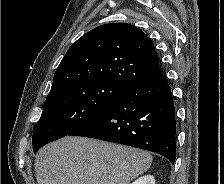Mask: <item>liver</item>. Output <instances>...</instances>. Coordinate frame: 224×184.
Listing matches in <instances>:
<instances>
[{
	"instance_id": "6515ba94",
	"label": "liver",
	"mask_w": 224,
	"mask_h": 184,
	"mask_svg": "<svg viewBox=\"0 0 224 184\" xmlns=\"http://www.w3.org/2000/svg\"><path fill=\"white\" fill-rule=\"evenodd\" d=\"M149 152L85 137H64L41 148L38 184H129L151 166Z\"/></svg>"
}]
</instances>
